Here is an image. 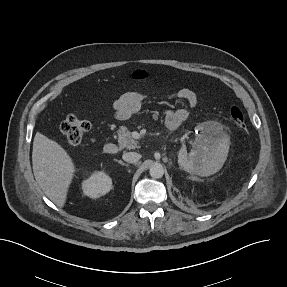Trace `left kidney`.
<instances>
[{"label":"left kidney","instance_id":"left-kidney-1","mask_svg":"<svg viewBox=\"0 0 287 287\" xmlns=\"http://www.w3.org/2000/svg\"><path fill=\"white\" fill-rule=\"evenodd\" d=\"M229 138L218 125L206 124L196 139L195 148L188 153L182 147L178 154L179 165L187 172L210 176L218 172L226 161Z\"/></svg>","mask_w":287,"mask_h":287}]
</instances>
